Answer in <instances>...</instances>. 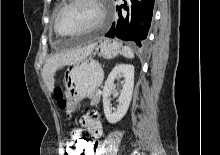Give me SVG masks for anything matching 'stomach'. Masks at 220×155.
I'll return each mask as SVG.
<instances>
[{
	"label": "stomach",
	"instance_id": "1",
	"mask_svg": "<svg viewBox=\"0 0 220 155\" xmlns=\"http://www.w3.org/2000/svg\"><path fill=\"white\" fill-rule=\"evenodd\" d=\"M120 48L119 42L104 39L96 46L95 51L110 59L119 54ZM103 76L102 67L93 59H84L68 69L64 78L68 113H72L83 99L90 97L97 91Z\"/></svg>",
	"mask_w": 220,
	"mask_h": 155
}]
</instances>
